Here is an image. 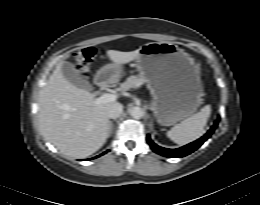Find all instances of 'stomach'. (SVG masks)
<instances>
[{
    "label": "stomach",
    "instance_id": "0dacf381",
    "mask_svg": "<svg viewBox=\"0 0 260 205\" xmlns=\"http://www.w3.org/2000/svg\"><path fill=\"white\" fill-rule=\"evenodd\" d=\"M136 65L150 90L154 116L160 125H174L202 104L204 92L198 65L177 45L147 43L139 49ZM120 76L121 67L114 62L97 74L103 82H115Z\"/></svg>",
    "mask_w": 260,
    "mask_h": 205
}]
</instances>
